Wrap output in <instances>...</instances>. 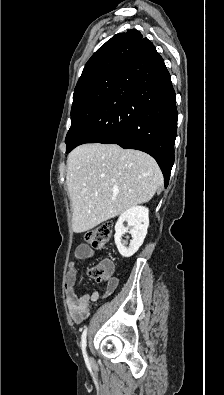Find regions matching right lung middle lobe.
<instances>
[{
	"label": "right lung middle lobe",
	"instance_id": "dd1d6c3e",
	"mask_svg": "<svg viewBox=\"0 0 224 395\" xmlns=\"http://www.w3.org/2000/svg\"><path fill=\"white\" fill-rule=\"evenodd\" d=\"M120 75L121 72L109 73L75 89L71 127L65 139L66 151L76 143L85 126L104 104Z\"/></svg>",
	"mask_w": 224,
	"mask_h": 395
}]
</instances>
